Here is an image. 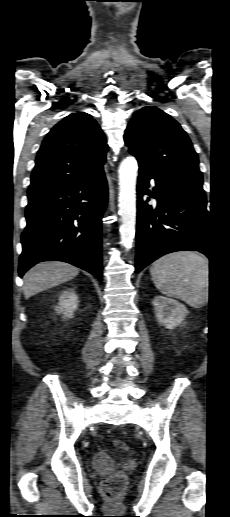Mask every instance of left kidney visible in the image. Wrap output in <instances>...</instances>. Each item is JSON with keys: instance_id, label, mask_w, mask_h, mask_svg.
Instances as JSON below:
<instances>
[{"instance_id": "left-kidney-1", "label": "left kidney", "mask_w": 230, "mask_h": 517, "mask_svg": "<svg viewBox=\"0 0 230 517\" xmlns=\"http://www.w3.org/2000/svg\"><path fill=\"white\" fill-rule=\"evenodd\" d=\"M152 303L158 322L167 329H173L181 324L188 314L187 308L174 299L156 296Z\"/></svg>"}]
</instances>
